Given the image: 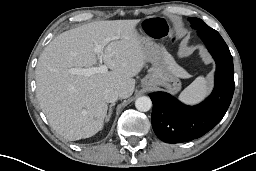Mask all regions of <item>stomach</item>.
<instances>
[{
    "mask_svg": "<svg viewBox=\"0 0 256 171\" xmlns=\"http://www.w3.org/2000/svg\"><path fill=\"white\" fill-rule=\"evenodd\" d=\"M137 36L145 51L146 61L151 64L148 75L142 80V86H163L169 92L177 93L181 89V83L174 72L175 63L171 55L144 31L141 34L137 32Z\"/></svg>",
    "mask_w": 256,
    "mask_h": 171,
    "instance_id": "stomach-1",
    "label": "stomach"
}]
</instances>
